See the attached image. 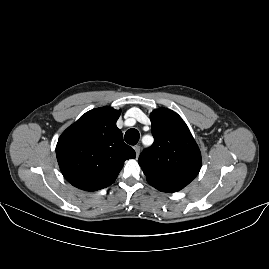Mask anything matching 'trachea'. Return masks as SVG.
<instances>
[{
  "label": "trachea",
  "instance_id": "1",
  "mask_svg": "<svg viewBox=\"0 0 269 269\" xmlns=\"http://www.w3.org/2000/svg\"><path fill=\"white\" fill-rule=\"evenodd\" d=\"M139 131L137 129H129L124 136L125 141L130 145H136L139 141Z\"/></svg>",
  "mask_w": 269,
  "mask_h": 269
}]
</instances>
